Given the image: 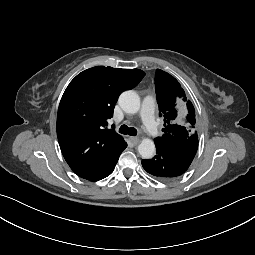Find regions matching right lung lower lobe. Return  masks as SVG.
Returning a JSON list of instances; mask_svg holds the SVG:
<instances>
[{
    "label": "right lung lower lobe",
    "instance_id": "obj_1",
    "mask_svg": "<svg viewBox=\"0 0 255 255\" xmlns=\"http://www.w3.org/2000/svg\"><path fill=\"white\" fill-rule=\"evenodd\" d=\"M120 154L118 156H116L113 160H111L107 165H105V166L101 167L99 170H97L94 174H92L88 177H84V179H87L90 181H98V180H101V179L109 176L113 172L115 165L119 159Z\"/></svg>",
    "mask_w": 255,
    "mask_h": 255
}]
</instances>
